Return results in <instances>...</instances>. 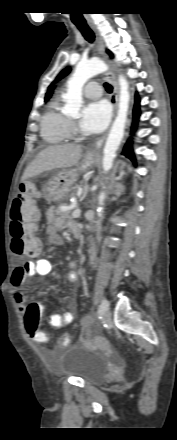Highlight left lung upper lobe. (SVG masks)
<instances>
[{
	"mask_svg": "<svg viewBox=\"0 0 177 440\" xmlns=\"http://www.w3.org/2000/svg\"><path fill=\"white\" fill-rule=\"evenodd\" d=\"M107 52H108V54L111 56V57H113V55H112V53L109 51V50H107ZM70 68L68 67V68H65L59 75H58V77H57V79L50 85V87L56 82V81H58L59 79H61V78H63L64 76H66L69 72H70Z\"/></svg>",
	"mask_w": 177,
	"mask_h": 440,
	"instance_id": "1",
	"label": "left lung upper lobe"
}]
</instances>
